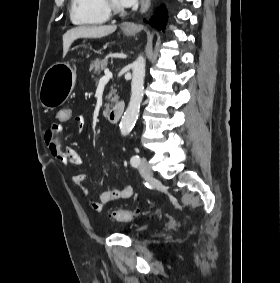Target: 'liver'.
<instances>
[{
  "mask_svg": "<svg viewBox=\"0 0 280 283\" xmlns=\"http://www.w3.org/2000/svg\"><path fill=\"white\" fill-rule=\"evenodd\" d=\"M117 29L116 25H91L78 26L68 30L63 35V56H65L71 44L79 38H102L110 35Z\"/></svg>",
  "mask_w": 280,
  "mask_h": 283,
  "instance_id": "liver-1",
  "label": "liver"
}]
</instances>
